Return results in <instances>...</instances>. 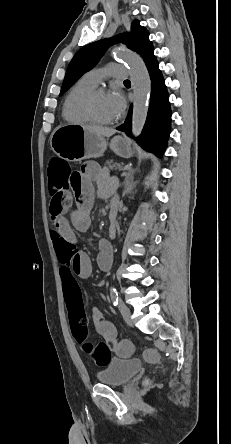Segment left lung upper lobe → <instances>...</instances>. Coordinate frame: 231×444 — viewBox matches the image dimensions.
<instances>
[{
    "label": "left lung upper lobe",
    "instance_id": "1",
    "mask_svg": "<svg viewBox=\"0 0 231 444\" xmlns=\"http://www.w3.org/2000/svg\"><path fill=\"white\" fill-rule=\"evenodd\" d=\"M116 42H124L129 49L137 52L144 61L154 51L153 44L149 40L148 31L139 25L138 20H135L131 26V35L126 33L114 38L99 40L77 51L67 68L60 95L67 91L84 73L91 70L106 49Z\"/></svg>",
    "mask_w": 231,
    "mask_h": 444
}]
</instances>
